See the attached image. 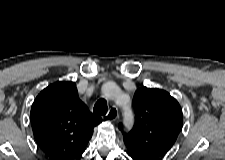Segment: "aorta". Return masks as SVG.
Wrapping results in <instances>:
<instances>
[{
	"label": "aorta",
	"mask_w": 225,
	"mask_h": 160,
	"mask_svg": "<svg viewBox=\"0 0 225 160\" xmlns=\"http://www.w3.org/2000/svg\"><path fill=\"white\" fill-rule=\"evenodd\" d=\"M103 93L107 98L117 100V89L115 86L104 89ZM121 108L125 124H130L133 120V111L129 102H127L125 105H121Z\"/></svg>",
	"instance_id": "obj_1"
}]
</instances>
